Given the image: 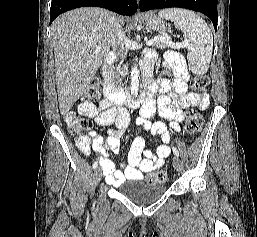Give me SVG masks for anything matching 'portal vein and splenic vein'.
Instances as JSON below:
<instances>
[{
	"label": "portal vein and splenic vein",
	"instance_id": "1",
	"mask_svg": "<svg viewBox=\"0 0 257 237\" xmlns=\"http://www.w3.org/2000/svg\"><path fill=\"white\" fill-rule=\"evenodd\" d=\"M155 40H159L161 42H164L173 49H179V48H182V47H189V43H188L187 39H185L182 43H173L172 41H170L169 39H167L165 37H156L152 40L147 41L146 45L151 46Z\"/></svg>",
	"mask_w": 257,
	"mask_h": 237
}]
</instances>
